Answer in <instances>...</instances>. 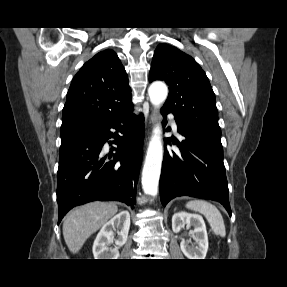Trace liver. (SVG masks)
I'll use <instances>...</instances> for the list:
<instances>
[{"mask_svg": "<svg viewBox=\"0 0 287 287\" xmlns=\"http://www.w3.org/2000/svg\"><path fill=\"white\" fill-rule=\"evenodd\" d=\"M118 212L115 203L92 202L69 212L63 223V236L72 253Z\"/></svg>", "mask_w": 287, "mask_h": 287, "instance_id": "6515ba94", "label": "liver"}]
</instances>
